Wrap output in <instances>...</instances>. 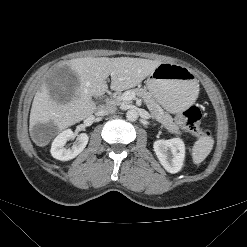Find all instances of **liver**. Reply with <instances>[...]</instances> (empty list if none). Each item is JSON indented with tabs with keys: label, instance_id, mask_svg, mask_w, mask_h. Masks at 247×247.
Segmentation results:
<instances>
[{
	"label": "liver",
	"instance_id": "liver-1",
	"mask_svg": "<svg viewBox=\"0 0 247 247\" xmlns=\"http://www.w3.org/2000/svg\"><path fill=\"white\" fill-rule=\"evenodd\" d=\"M160 64L156 60L130 57H85L68 60L61 66L69 67L79 79L74 96L68 102H57L43 83L33 99L30 129L39 123H53L58 131H62L94 113L96 104L92 97L101 96L107 91L106 79L109 76L111 90L123 91L137 86Z\"/></svg>",
	"mask_w": 247,
	"mask_h": 247
}]
</instances>
